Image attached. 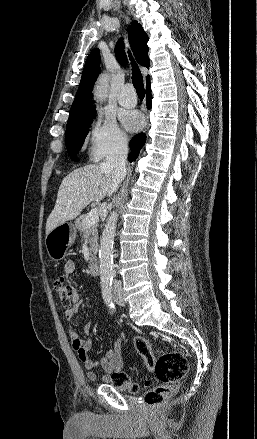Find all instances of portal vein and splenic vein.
<instances>
[{
	"mask_svg": "<svg viewBox=\"0 0 257 439\" xmlns=\"http://www.w3.org/2000/svg\"><path fill=\"white\" fill-rule=\"evenodd\" d=\"M98 220V209L93 208L88 215L86 216L85 220L83 221L84 227H90L92 226L96 221Z\"/></svg>",
	"mask_w": 257,
	"mask_h": 439,
	"instance_id": "obj_1",
	"label": "portal vein and splenic vein"
}]
</instances>
